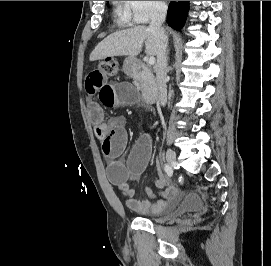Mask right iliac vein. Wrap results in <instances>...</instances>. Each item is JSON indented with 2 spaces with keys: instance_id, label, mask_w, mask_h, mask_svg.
Masks as SVG:
<instances>
[{
  "instance_id": "1",
  "label": "right iliac vein",
  "mask_w": 271,
  "mask_h": 266,
  "mask_svg": "<svg viewBox=\"0 0 271 266\" xmlns=\"http://www.w3.org/2000/svg\"><path fill=\"white\" fill-rule=\"evenodd\" d=\"M166 159L169 164L174 165L176 162V153L172 149H168L166 152Z\"/></svg>"
}]
</instances>
